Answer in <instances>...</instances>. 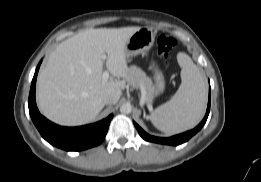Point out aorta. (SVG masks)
I'll return each instance as SVG.
<instances>
[{
	"instance_id": "aorta-1",
	"label": "aorta",
	"mask_w": 261,
	"mask_h": 182,
	"mask_svg": "<svg viewBox=\"0 0 261 182\" xmlns=\"http://www.w3.org/2000/svg\"><path fill=\"white\" fill-rule=\"evenodd\" d=\"M131 111H132V106L130 104H128V103L123 104V105L120 106V112L122 114H130Z\"/></svg>"
}]
</instances>
